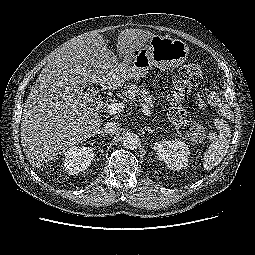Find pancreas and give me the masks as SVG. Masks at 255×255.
I'll return each instance as SVG.
<instances>
[{
  "instance_id": "pancreas-1",
  "label": "pancreas",
  "mask_w": 255,
  "mask_h": 255,
  "mask_svg": "<svg viewBox=\"0 0 255 255\" xmlns=\"http://www.w3.org/2000/svg\"><path fill=\"white\" fill-rule=\"evenodd\" d=\"M122 97L128 102H144L150 107H153L156 104L155 98L151 92L146 90L144 87L137 86L136 84H132L128 86L126 90L122 91Z\"/></svg>"
}]
</instances>
